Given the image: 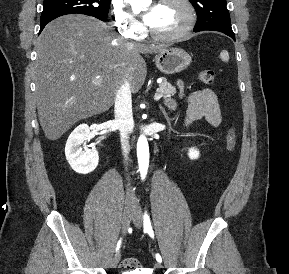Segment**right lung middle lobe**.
Listing matches in <instances>:
<instances>
[{"label":"right lung middle lobe","instance_id":"obj_1","mask_svg":"<svg viewBox=\"0 0 289 274\" xmlns=\"http://www.w3.org/2000/svg\"><path fill=\"white\" fill-rule=\"evenodd\" d=\"M110 0H44L41 19L66 14H85L105 20Z\"/></svg>","mask_w":289,"mask_h":274}]
</instances>
